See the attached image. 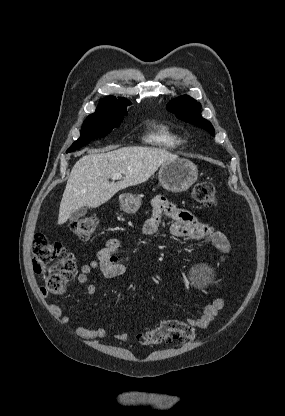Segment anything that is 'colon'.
<instances>
[{
	"instance_id": "1",
	"label": "colon",
	"mask_w": 285,
	"mask_h": 416,
	"mask_svg": "<svg viewBox=\"0 0 285 416\" xmlns=\"http://www.w3.org/2000/svg\"><path fill=\"white\" fill-rule=\"evenodd\" d=\"M194 199L203 206L216 203V186L211 181L197 183L192 191ZM98 226L96 216H84L71 222V230L81 239L92 238ZM33 269L36 274L46 275V290L62 293L73 278L76 264L67 249L60 243L51 241L43 234L33 239ZM195 336L194 328L185 322L169 319L158 326L137 334V340L145 346L164 345L172 341H188Z\"/></svg>"
}]
</instances>
